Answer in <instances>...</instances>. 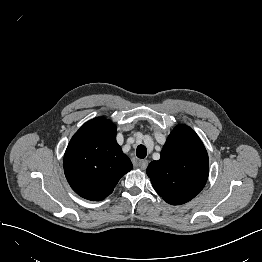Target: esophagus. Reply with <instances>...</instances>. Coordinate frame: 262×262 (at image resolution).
Here are the masks:
<instances>
[{"instance_id": "esophagus-1", "label": "esophagus", "mask_w": 262, "mask_h": 262, "mask_svg": "<svg viewBox=\"0 0 262 262\" xmlns=\"http://www.w3.org/2000/svg\"><path fill=\"white\" fill-rule=\"evenodd\" d=\"M137 166H138L140 169L144 170V169H146L147 166H148V161H147V160H138V161H137Z\"/></svg>"}]
</instances>
